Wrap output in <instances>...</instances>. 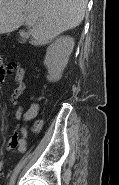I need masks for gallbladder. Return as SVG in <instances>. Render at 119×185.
Segmentation results:
<instances>
[{
	"mask_svg": "<svg viewBox=\"0 0 119 185\" xmlns=\"http://www.w3.org/2000/svg\"><path fill=\"white\" fill-rule=\"evenodd\" d=\"M20 36L23 41H26L29 37V34L26 31H20Z\"/></svg>",
	"mask_w": 119,
	"mask_h": 185,
	"instance_id": "bac80fb5",
	"label": "gallbladder"
}]
</instances>
